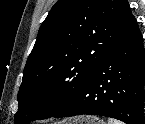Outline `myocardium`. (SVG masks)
<instances>
[{
	"mask_svg": "<svg viewBox=\"0 0 145 124\" xmlns=\"http://www.w3.org/2000/svg\"><path fill=\"white\" fill-rule=\"evenodd\" d=\"M55 96H56V90L49 89L43 94L42 98L45 100H50V99H53Z\"/></svg>",
	"mask_w": 145,
	"mask_h": 124,
	"instance_id": "myocardium-1",
	"label": "myocardium"
}]
</instances>
